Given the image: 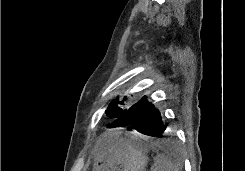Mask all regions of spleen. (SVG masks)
<instances>
[{
	"mask_svg": "<svg viewBox=\"0 0 245 171\" xmlns=\"http://www.w3.org/2000/svg\"><path fill=\"white\" fill-rule=\"evenodd\" d=\"M151 171H179L178 167L165 154H158L154 158Z\"/></svg>",
	"mask_w": 245,
	"mask_h": 171,
	"instance_id": "1",
	"label": "spleen"
}]
</instances>
